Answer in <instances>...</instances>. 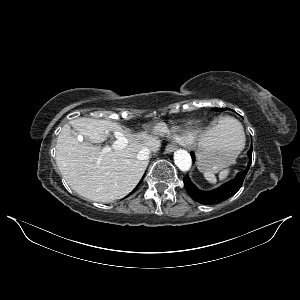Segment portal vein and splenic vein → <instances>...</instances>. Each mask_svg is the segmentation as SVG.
I'll list each match as a JSON object with an SVG mask.
<instances>
[{
    "label": "portal vein and splenic vein",
    "mask_w": 300,
    "mask_h": 300,
    "mask_svg": "<svg viewBox=\"0 0 300 300\" xmlns=\"http://www.w3.org/2000/svg\"><path fill=\"white\" fill-rule=\"evenodd\" d=\"M114 136L116 138V141H114L112 146L103 148L102 154L105 152L111 151L112 149L118 150V149H123L124 147L127 146L128 141L122 134L115 132Z\"/></svg>",
    "instance_id": "obj_1"
}]
</instances>
